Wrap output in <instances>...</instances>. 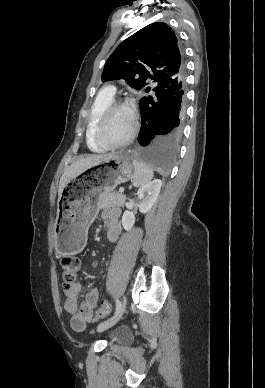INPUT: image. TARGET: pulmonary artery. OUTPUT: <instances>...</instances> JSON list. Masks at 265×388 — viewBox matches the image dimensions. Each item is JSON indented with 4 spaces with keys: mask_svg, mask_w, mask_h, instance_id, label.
Instances as JSON below:
<instances>
[{
    "mask_svg": "<svg viewBox=\"0 0 265 388\" xmlns=\"http://www.w3.org/2000/svg\"><path fill=\"white\" fill-rule=\"evenodd\" d=\"M118 88V85L116 83H103L102 89L103 90H116Z\"/></svg>",
    "mask_w": 265,
    "mask_h": 388,
    "instance_id": "1",
    "label": "pulmonary artery"
}]
</instances>
